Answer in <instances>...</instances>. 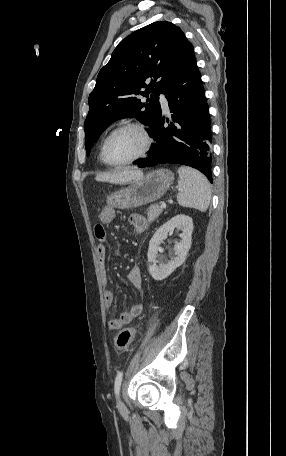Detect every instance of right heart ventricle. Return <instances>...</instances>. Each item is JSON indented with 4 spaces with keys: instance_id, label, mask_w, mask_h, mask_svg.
<instances>
[{
    "instance_id": "1",
    "label": "right heart ventricle",
    "mask_w": 286,
    "mask_h": 456,
    "mask_svg": "<svg viewBox=\"0 0 286 456\" xmlns=\"http://www.w3.org/2000/svg\"><path fill=\"white\" fill-rule=\"evenodd\" d=\"M105 137L103 138L101 144H100V159H101V148H102V145H103V141H104ZM102 160V159H101Z\"/></svg>"
}]
</instances>
